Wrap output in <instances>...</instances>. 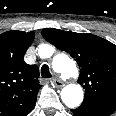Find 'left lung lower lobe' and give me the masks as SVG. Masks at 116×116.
Instances as JSON below:
<instances>
[{
  "label": "left lung lower lobe",
  "instance_id": "obj_1",
  "mask_svg": "<svg viewBox=\"0 0 116 116\" xmlns=\"http://www.w3.org/2000/svg\"><path fill=\"white\" fill-rule=\"evenodd\" d=\"M116 111V106L100 103H82V105L72 110L75 116H109Z\"/></svg>",
  "mask_w": 116,
  "mask_h": 116
}]
</instances>
